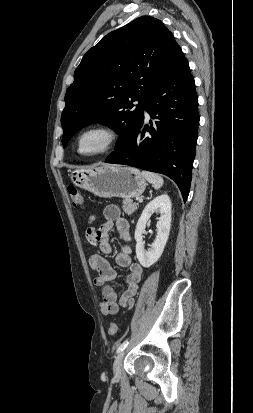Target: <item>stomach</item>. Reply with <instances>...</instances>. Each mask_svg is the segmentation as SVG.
Instances as JSON below:
<instances>
[{"label":"stomach","instance_id":"0dacf381","mask_svg":"<svg viewBox=\"0 0 253 413\" xmlns=\"http://www.w3.org/2000/svg\"><path fill=\"white\" fill-rule=\"evenodd\" d=\"M70 177L76 186L101 198L138 197L147 185L140 170L119 165L76 170L71 172Z\"/></svg>","mask_w":253,"mask_h":413}]
</instances>
